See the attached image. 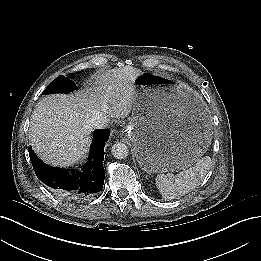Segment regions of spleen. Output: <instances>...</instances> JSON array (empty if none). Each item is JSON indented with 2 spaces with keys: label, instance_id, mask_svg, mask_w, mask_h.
Listing matches in <instances>:
<instances>
[{
  "label": "spleen",
  "instance_id": "obj_1",
  "mask_svg": "<svg viewBox=\"0 0 261 261\" xmlns=\"http://www.w3.org/2000/svg\"><path fill=\"white\" fill-rule=\"evenodd\" d=\"M211 158L205 156L195 166L175 176L160 174L155 178L156 186L165 199H175L194 190L210 168Z\"/></svg>",
  "mask_w": 261,
  "mask_h": 261
}]
</instances>
